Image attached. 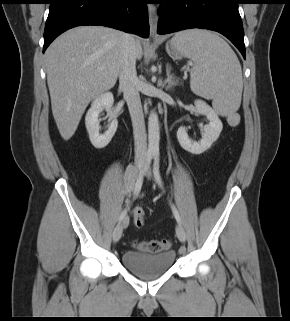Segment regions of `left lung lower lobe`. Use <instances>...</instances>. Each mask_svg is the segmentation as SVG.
<instances>
[{"label": "left lung lower lobe", "instance_id": "1", "mask_svg": "<svg viewBox=\"0 0 290 321\" xmlns=\"http://www.w3.org/2000/svg\"><path fill=\"white\" fill-rule=\"evenodd\" d=\"M240 0H162L158 33L190 28L217 31L226 36L245 58L244 31L238 11Z\"/></svg>", "mask_w": 290, "mask_h": 321}]
</instances>
